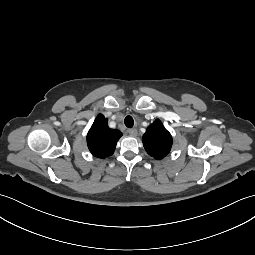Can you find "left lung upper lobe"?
Masks as SVG:
<instances>
[{"instance_id": "left-lung-upper-lobe-1", "label": "left lung upper lobe", "mask_w": 255, "mask_h": 255, "mask_svg": "<svg viewBox=\"0 0 255 255\" xmlns=\"http://www.w3.org/2000/svg\"><path fill=\"white\" fill-rule=\"evenodd\" d=\"M143 145L150 156L155 159L165 157L172 146V137L160 120H155L143 135Z\"/></svg>"}]
</instances>
